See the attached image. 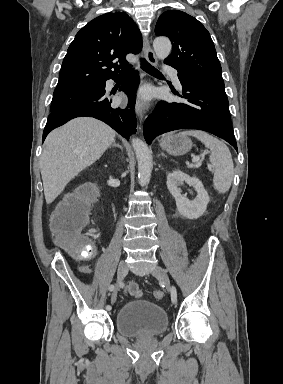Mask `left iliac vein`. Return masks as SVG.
Segmentation results:
<instances>
[{"instance_id": "4c4485c4", "label": "left iliac vein", "mask_w": 283, "mask_h": 384, "mask_svg": "<svg viewBox=\"0 0 283 384\" xmlns=\"http://www.w3.org/2000/svg\"><path fill=\"white\" fill-rule=\"evenodd\" d=\"M151 273L162 282L168 292H171L170 279L165 269L160 266H156Z\"/></svg>"}]
</instances>
